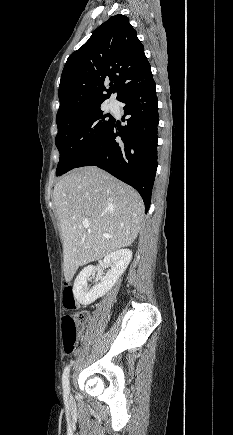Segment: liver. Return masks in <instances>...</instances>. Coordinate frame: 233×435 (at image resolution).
I'll return each mask as SVG.
<instances>
[{
    "instance_id": "6515ba94",
    "label": "liver",
    "mask_w": 233,
    "mask_h": 435,
    "mask_svg": "<svg viewBox=\"0 0 233 435\" xmlns=\"http://www.w3.org/2000/svg\"><path fill=\"white\" fill-rule=\"evenodd\" d=\"M63 237V272L72 280L80 266L130 246L141 229L144 204L136 190L95 166L69 172L54 187ZM88 221L85 228L83 222ZM111 238H105L103 234Z\"/></svg>"
}]
</instances>
